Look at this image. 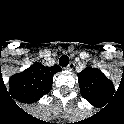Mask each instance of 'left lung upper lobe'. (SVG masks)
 <instances>
[{
  "label": "left lung upper lobe",
  "instance_id": "left-lung-upper-lobe-1",
  "mask_svg": "<svg viewBox=\"0 0 124 124\" xmlns=\"http://www.w3.org/2000/svg\"><path fill=\"white\" fill-rule=\"evenodd\" d=\"M80 92L83 97L93 99L106 86L103 73L96 68H86L78 74Z\"/></svg>",
  "mask_w": 124,
  "mask_h": 124
}]
</instances>
